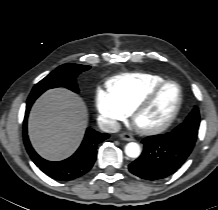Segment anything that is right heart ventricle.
Here are the masks:
<instances>
[{
	"mask_svg": "<svg viewBox=\"0 0 218 210\" xmlns=\"http://www.w3.org/2000/svg\"><path fill=\"white\" fill-rule=\"evenodd\" d=\"M164 80L152 73L123 74L108 82V91L130 113L152 88Z\"/></svg>",
	"mask_w": 218,
	"mask_h": 210,
	"instance_id": "right-heart-ventricle-1",
	"label": "right heart ventricle"
}]
</instances>
